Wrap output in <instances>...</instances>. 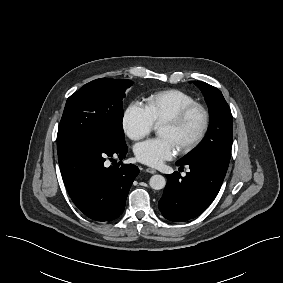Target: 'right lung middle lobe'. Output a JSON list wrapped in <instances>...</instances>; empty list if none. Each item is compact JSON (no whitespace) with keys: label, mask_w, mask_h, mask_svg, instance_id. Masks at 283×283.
<instances>
[{"label":"right lung middle lobe","mask_w":283,"mask_h":283,"mask_svg":"<svg viewBox=\"0 0 283 283\" xmlns=\"http://www.w3.org/2000/svg\"><path fill=\"white\" fill-rule=\"evenodd\" d=\"M132 84L128 79L100 78L72 94L59 124L57 152L85 139L111 145L126 144L122 99Z\"/></svg>","instance_id":"1"}]
</instances>
